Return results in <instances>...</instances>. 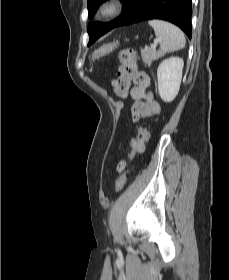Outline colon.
I'll use <instances>...</instances> for the list:
<instances>
[{"label": "colon", "instance_id": "colon-1", "mask_svg": "<svg viewBox=\"0 0 229 280\" xmlns=\"http://www.w3.org/2000/svg\"><path fill=\"white\" fill-rule=\"evenodd\" d=\"M119 61L121 66L118 70V79L116 89L117 91L124 90L129 83L134 82L139 86L147 88L150 84L148 75L138 70L137 68V58L136 53L133 49H124L121 50L118 54ZM149 137L147 125H143L137 136L131 142V152L129 158H134L137 154L143 152L145 142ZM129 171L125 170L116 180L115 188L116 190H121L126 182V178Z\"/></svg>", "mask_w": 229, "mask_h": 280}]
</instances>
